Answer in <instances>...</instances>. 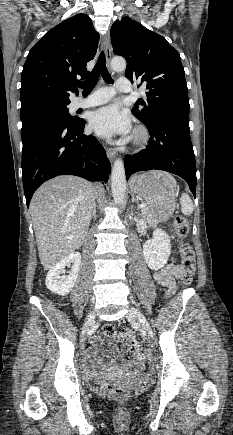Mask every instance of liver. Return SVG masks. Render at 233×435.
<instances>
[{
	"instance_id": "1",
	"label": "liver",
	"mask_w": 233,
	"mask_h": 435,
	"mask_svg": "<svg viewBox=\"0 0 233 435\" xmlns=\"http://www.w3.org/2000/svg\"><path fill=\"white\" fill-rule=\"evenodd\" d=\"M95 205L91 184L80 177L57 176L36 190L30 213L45 270L82 246Z\"/></svg>"
}]
</instances>
